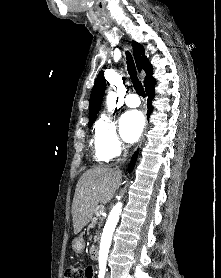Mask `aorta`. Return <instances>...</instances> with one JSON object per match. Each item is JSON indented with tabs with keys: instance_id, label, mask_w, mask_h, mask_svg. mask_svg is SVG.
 Masks as SVG:
<instances>
[{
	"instance_id": "762f6f07",
	"label": "aorta",
	"mask_w": 221,
	"mask_h": 278,
	"mask_svg": "<svg viewBox=\"0 0 221 278\" xmlns=\"http://www.w3.org/2000/svg\"><path fill=\"white\" fill-rule=\"evenodd\" d=\"M116 93L114 91H109L107 98H106V105L108 111H113L116 106ZM122 210V203L118 202L112 208L105 227L103 229L101 242H100V249H99V262L105 263L108 258V253L112 241V235L119 220V215L121 214Z\"/></svg>"
}]
</instances>
